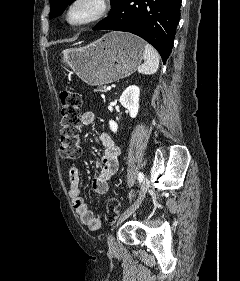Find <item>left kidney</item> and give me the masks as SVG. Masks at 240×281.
<instances>
[{
    "label": "left kidney",
    "mask_w": 240,
    "mask_h": 281,
    "mask_svg": "<svg viewBox=\"0 0 240 281\" xmlns=\"http://www.w3.org/2000/svg\"><path fill=\"white\" fill-rule=\"evenodd\" d=\"M139 97L140 89L136 85H131L127 87L122 95L120 96V103L123 107L128 109L131 118H135L139 111ZM109 127L112 132L116 133L118 130V125L115 121H109Z\"/></svg>",
    "instance_id": "left-kidney-1"
}]
</instances>
